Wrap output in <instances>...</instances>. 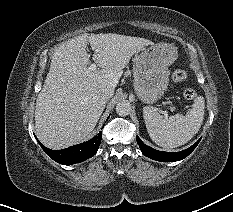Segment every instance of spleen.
Masks as SVG:
<instances>
[{"label":"spleen","instance_id":"obj_1","mask_svg":"<svg viewBox=\"0 0 233 212\" xmlns=\"http://www.w3.org/2000/svg\"><path fill=\"white\" fill-rule=\"evenodd\" d=\"M205 100L198 96L186 115L164 118L153 107L145 106L143 116L151 139L160 147L176 148L186 144L198 133L204 119Z\"/></svg>","mask_w":233,"mask_h":212}]
</instances>
